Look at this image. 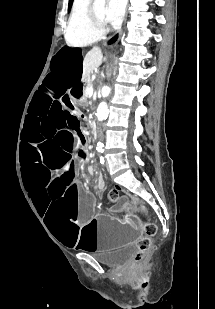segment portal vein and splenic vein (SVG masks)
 <instances>
[{
	"instance_id": "portal-vein-and-splenic-vein-1",
	"label": "portal vein and splenic vein",
	"mask_w": 215,
	"mask_h": 309,
	"mask_svg": "<svg viewBox=\"0 0 215 309\" xmlns=\"http://www.w3.org/2000/svg\"><path fill=\"white\" fill-rule=\"evenodd\" d=\"M86 92H87V94H89V96H92V94H93L92 86H90V88H86Z\"/></svg>"
}]
</instances>
